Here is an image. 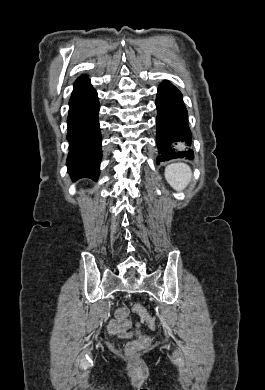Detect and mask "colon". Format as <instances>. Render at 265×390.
Listing matches in <instances>:
<instances>
[{
  "label": "colon",
  "instance_id": "5ec220e1",
  "mask_svg": "<svg viewBox=\"0 0 265 390\" xmlns=\"http://www.w3.org/2000/svg\"><path fill=\"white\" fill-rule=\"evenodd\" d=\"M133 311L138 314L147 324L150 329H154L156 327L155 320L148 313V311L140 304L133 305ZM116 318L128 320L130 317V311L126 308H119L115 312ZM148 342V338L144 335H138L137 338L131 342H129L126 346V352L128 354H134Z\"/></svg>",
  "mask_w": 265,
  "mask_h": 390
}]
</instances>
